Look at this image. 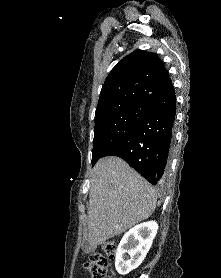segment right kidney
<instances>
[{"label":"right kidney","instance_id":"obj_1","mask_svg":"<svg viewBox=\"0 0 221 278\" xmlns=\"http://www.w3.org/2000/svg\"><path fill=\"white\" fill-rule=\"evenodd\" d=\"M155 221L141 223L130 229L121 239L115 258V268L121 275L136 269L145 259L157 234Z\"/></svg>","mask_w":221,"mask_h":278}]
</instances>
